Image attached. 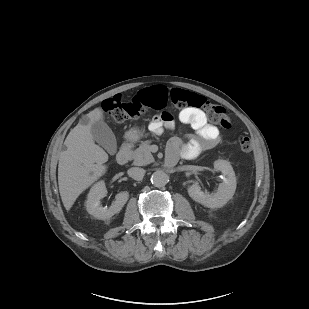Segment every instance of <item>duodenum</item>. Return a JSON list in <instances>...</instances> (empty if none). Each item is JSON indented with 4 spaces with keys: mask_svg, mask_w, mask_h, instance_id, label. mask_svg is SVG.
Listing matches in <instances>:
<instances>
[{
    "mask_svg": "<svg viewBox=\"0 0 309 309\" xmlns=\"http://www.w3.org/2000/svg\"><path fill=\"white\" fill-rule=\"evenodd\" d=\"M132 141H128L125 144L122 145V147L120 148L119 152L117 153L116 156V161L118 164L120 165H124L129 161V157H130V151L132 148ZM168 166H173L175 163L170 162V161H166Z\"/></svg>",
    "mask_w": 309,
    "mask_h": 309,
    "instance_id": "1",
    "label": "duodenum"
}]
</instances>
